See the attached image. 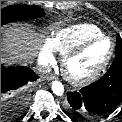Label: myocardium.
<instances>
[{
	"mask_svg": "<svg viewBox=\"0 0 122 122\" xmlns=\"http://www.w3.org/2000/svg\"><path fill=\"white\" fill-rule=\"evenodd\" d=\"M102 40H108L111 44L110 52H109L107 58L105 59V61L95 71H93L91 74H89L87 76L79 77V78L72 76L68 72V69H67L69 61L71 59H73L74 57L82 54L91 45H93L99 41H102ZM114 52H115V42L113 41L112 38H110L106 35H102V36L88 39V40L82 42L81 44L77 45L73 49L69 50L67 53H65L63 55L62 60H61L63 75L73 85H76V86L87 85V84L95 81L97 78H99L100 75L106 70V68L108 67V65L110 64V62L113 58Z\"/></svg>",
	"mask_w": 122,
	"mask_h": 122,
	"instance_id": "obj_1",
	"label": "myocardium"
}]
</instances>
